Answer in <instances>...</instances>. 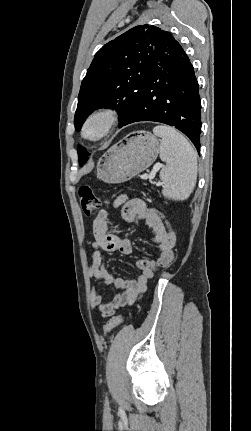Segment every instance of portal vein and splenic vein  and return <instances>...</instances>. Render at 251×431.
<instances>
[{"label": "portal vein and splenic vein", "mask_w": 251, "mask_h": 431, "mask_svg": "<svg viewBox=\"0 0 251 431\" xmlns=\"http://www.w3.org/2000/svg\"><path fill=\"white\" fill-rule=\"evenodd\" d=\"M162 167L161 164H157L153 167V170L149 175H143V179H153L155 177L156 172Z\"/></svg>", "instance_id": "obj_1"}]
</instances>
